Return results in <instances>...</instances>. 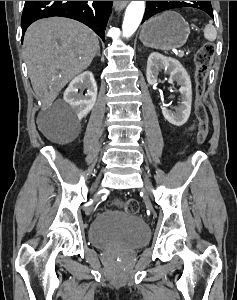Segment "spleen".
Segmentation results:
<instances>
[{
  "label": "spleen",
  "mask_w": 237,
  "mask_h": 300,
  "mask_svg": "<svg viewBox=\"0 0 237 300\" xmlns=\"http://www.w3.org/2000/svg\"><path fill=\"white\" fill-rule=\"evenodd\" d=\"M203 33L207 41H215L217 37V31L213 25H206L205 29H203Z\"/></svg>",
  "instance_id": "1"
}]
</instances>
